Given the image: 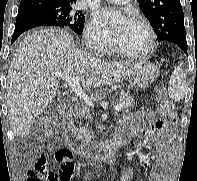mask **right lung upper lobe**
<instances>
[{
  "mask_svg": "<svg viewBox=\"0 0 197 181\" xmlns=\"http://www.w3.org/2000/svg\"><path fill=\"white\" fill-rule=\"evenodd\" d=\"M76 0H21L20 7L32 8L37 4H52L59 6H71Z\"/></svg>",
  "mask_w": 197,
  "mask_h": 181,
  "instance_id": "1",
  "label": "right lung upper lobe"
}]
</instances>
